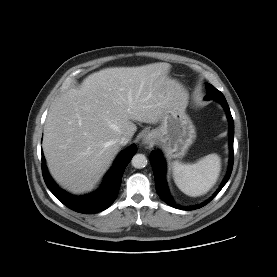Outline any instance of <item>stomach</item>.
<instances>
[{"label":"stomach","mask_w":277,"mask_h":277,"mask_svg":"<svg viewBox=\"0 0 277 277\" xmlns=\"http://www.w3.org/2000/svg\"><path fill=\"white\" fill-rule=\"evenodd\" d=\"M185 109L186 105L175 104L164 113L160 125L149 132L168 158H182L196 138L195 126Z\"/></svg>","instance_id":"1"}]
</instances>
